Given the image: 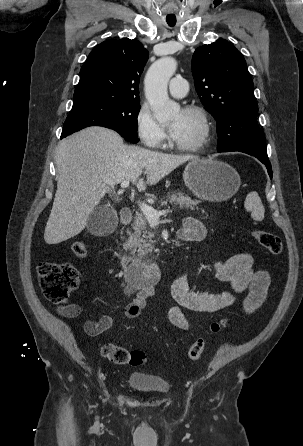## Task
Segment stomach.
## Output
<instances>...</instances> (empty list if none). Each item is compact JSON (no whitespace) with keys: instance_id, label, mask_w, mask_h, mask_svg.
<instances>
[{"instance_id":"stomach-1","label":"stomach","mask_w":303,"mask_h":446,"mask_svg":"<svg viewBox=\"0 0 303 446\" xmlns=\"http://www.w3.org/2000/svg\"><path fill=\"white\" fill-rule=\"evenodd\" d=\"M183 180L196 197L212 202L231 198L241 185L240 176L233 167L205 158L190 160L185 167Z\"/></svg>"}]
</instances>
